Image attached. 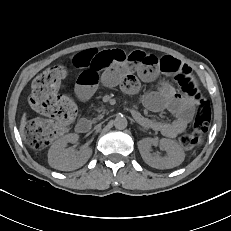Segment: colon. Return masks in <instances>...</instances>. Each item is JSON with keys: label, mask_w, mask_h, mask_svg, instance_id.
I'll return each instance as SVG.
<instances>
[{"label": "colon", "mask_w": 231, "mask_h": 231, "mask_svg": "<svg viewBox=\"0 0 231 231\" xmlns=\"http://www.w3.org/2000/svg\"><path fill=\"white\" fill-rule=\"evenodd\" d=\"M124 57L130 61H142L141 51L126 52ZM65 70L61 66L46 69L35 78L29 97L31 108L41 114L42 118L30 121L27 138L30 145L42 149L61 136L76 115V107L72 100L58 92L64 78ZM178 82L186 93H194L191 82L179 77ZM211 121V110L206 100L202 99L194 121L193 131L180 137L179 143L185 149L199 145L208 131Z\"/></svg>", "instance_id": "colon-1"}]
</instances>
